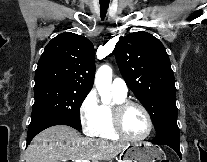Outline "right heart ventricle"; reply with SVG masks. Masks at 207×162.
I'll return each instance as SVG.
<instances>
[{
  "mask_svg": "<svg viewBox=\"0 0 207 162\" xmlns=\"http://www.w3.org/2000/svg\"><path fill=\"white\" fill-rule=\"evenodd\" d=\"M116 102H121L126 97H119L114 95ZM97 136L105 140H117L118 136L114 133L111 122L110 108L106 105L100 106V125Z\"/></svg>",
  "mask_w": 207,
  "mask_h": 162,
  "instance_id": "right-heart-ventricle-1",
  "label": "right heart ventricle"
}]
</instances>
